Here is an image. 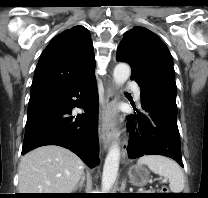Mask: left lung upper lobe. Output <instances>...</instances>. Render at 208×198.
Returning <instances> with one entry per match:
<instances>
[{
    "instance_id": "1",
    "label": "left lung upper lobe",
    "mask_w": 208,
    "mask_h": 198,
    "mask_svg": "<svg viewBox=\"0 0 208 198\" xmlns=\"http://www.w3.org/2000/svg\"><path fill=\"white\" fill-rule=\"evenodd\" d=\"M116 57L131 66V79L138 83L142 93L159 98L177 111L172 57L155 33L134 27L124 34Z\"/></svg>"
}]
</instances>
